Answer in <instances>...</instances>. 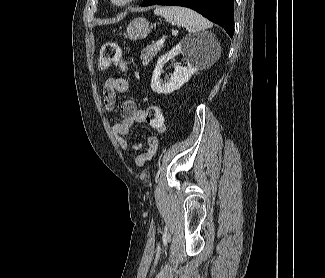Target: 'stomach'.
Instances as JSON below:
<instances>
[{
    "label": "stomach",
    "mask_w": 325,
    "mask_h": 278,
    "mask_svg": "<svg viewBox=\"0 0 325 278\" xmlns=\"http://www.w3.org/2000/svg\"><path fill=\"white\" fill-rule=\"evenodd\" d=\"M152 26L142 17L135 18L127 26V35L131 40L145 38L151 32Z\"/></svg>",
    "instance_id": "stomach-1"
}]
</instances>
